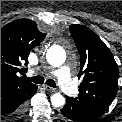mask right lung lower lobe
<instances>
[{"label": "right lung lower lobe", "instance_id": "98d812e1", "mask_svg": "<svg viewBox=\"0 0 122 122\" xmlns=\"http://www.w3.org/2000/svg\"><path fill=\"white\" fill-rule=\"evenodd\" d=\"M37 91V86L27 90H1V119H12L23 113L24 102Z\"/></svg>", "mask_w": 122, "mask_h": 122}]
</instances>
